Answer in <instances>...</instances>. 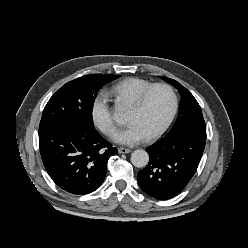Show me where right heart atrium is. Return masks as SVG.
Instances as JSON below:
<instances>
[{
  "label": "right heart atrium",
  "instance_id": "1",
  "mask_svg": "<svg viewBox=\"0 0 248 248\" xmlns=\"http://www.w3.org/2000/svg\"><path fill=\"white\" fill-rule=\"evenodd\" d=\"M91 118L94 125L104 134L114 132L116 124L110 106V98L106 92H99L91 104Z\"/></svg>",
  "mask_w": 248,
  "mask_h": 248
}]
</instances>
